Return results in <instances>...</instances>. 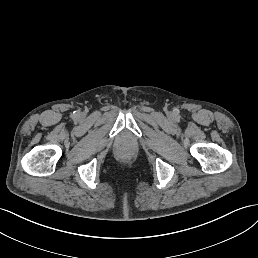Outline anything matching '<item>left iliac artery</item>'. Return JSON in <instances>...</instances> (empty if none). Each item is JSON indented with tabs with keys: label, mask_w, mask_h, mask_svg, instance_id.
I'll list each match as a JSON object with an SVG mask.
<instances>
[{
	"label": "left iliac artery",
	"mask_w": 258,
	"mask_h": 258,
	"mask_svg": "<svg viewBox=\"0 0 258 258\" xmlns=\"http://www.w3.org/2000/svg\"><path fill=\"white\" fill-rule=\"evenodd\" d=\"M173 113H174L175 119H176V120H179V119H180V112H179V110H178L177 108H175V109L173 110Z\"/></svg>",
	"instance_id": "44dca946"
}]
</instances>
